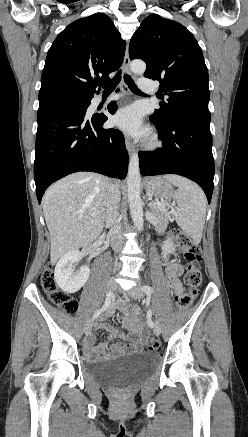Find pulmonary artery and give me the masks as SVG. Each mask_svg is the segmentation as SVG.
<instances>
[{"instance_id":"pulmonary-artery-1","label":"pulmonary artery","mask_w":248,"mask_h":437,"mask_svg":"<svg viewBox=\"0 0 248 437\" xmlns=\"http://www.w3.org/2000/svg\"><path fill=\"white\" fill-rule=\"evenodd\" d=\"M138 85H139V88L144 92H152L155 90L154 82L151 79L146 78V77H141L138 80ZM118 98H119V95H111L105 100V102L108 103V102H110L112 100H116Z\"/></svg>"}]
</instances>
